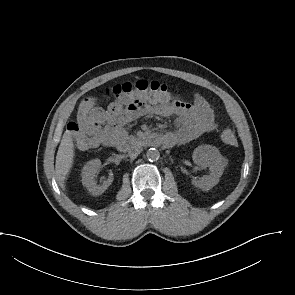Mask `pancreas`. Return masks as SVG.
Returning <instances> with one entry per match:
<instances>
[{
  "mask_svg": "<svg viewBox=\"0 0 295 295\" xmlns=\"http://www.w3.org/2000/svg\"><path fill=\"white\" fill-rule=\"evenodd\" d=\"M131 141H136L137 139L135 137L130 138Z\"/></svg>",
  "mask_w": 295,
  "mask_h": 295,
  "instance_id": "obj_1",
  "label": "pancreas"
}]
</instances>
